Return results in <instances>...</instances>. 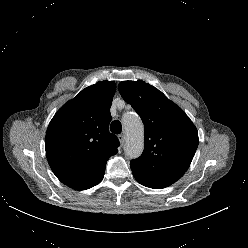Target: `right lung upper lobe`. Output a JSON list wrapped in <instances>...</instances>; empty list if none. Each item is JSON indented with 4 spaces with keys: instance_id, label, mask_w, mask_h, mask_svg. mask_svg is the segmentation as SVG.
Segmentation results:
<instances>
[{
    "instance_id": "right-lung-upper-lobe-1",
    "label": "right lung upper lobe",
    "mask_w": 248,
    "mask_h": 248,
    "mask_svg": "<svg viewBox=\"0 0 248 248\" xmlns=\"http://www.w3.org/2000/svg\"><path fill=\"white\" fill-rule=\"evenodd\" d=\"M116 85L97 82L63 105L49 123L45 149L56 177L75 190H86L103 178L118 138L109 132Z\"/></svg>"
}]
</instances>
